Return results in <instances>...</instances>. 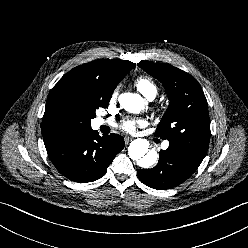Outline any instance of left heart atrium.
Wrapping results in <instances>:
<instances>
[{
	"label": "left heart atrium",
	"instance_id": "1",
	"mask_svg": "<svg viewBox=\"0 0 248 248\" xmlns=\"http://www.w3.org/2000/svg\"><path fill=\"white\" fill-rule=\"evenodd\" d=\"M144 124L143 120H127L124 121L120 128L128 133H134L138 125Z\"/></svg>",
	"mask_w": 248,
	"mask_h": 248
}]
</instances>
